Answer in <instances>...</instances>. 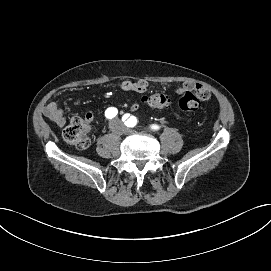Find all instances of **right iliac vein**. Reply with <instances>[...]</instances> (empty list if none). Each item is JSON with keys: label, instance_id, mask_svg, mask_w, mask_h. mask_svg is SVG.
<instances>
[{"label": "right iliac vein", "instance_id": "obj_1", "mask_svg": "<svg viewBox=\"0 0 271 271\" xmlns=\"http://www.w3.org/2000/svg\"><path fill=\"white\" fill-rule=\"evenodd\" d=\"M110 128L112 129V132H116L119 134V132H126L124 129V126L121 121L119 120H113V123L110 125Z\"/></svg>", "mask_w": 271, "mask_h": 271}]
</instances>
